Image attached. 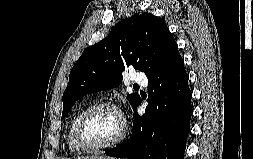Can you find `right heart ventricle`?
<instances>
[{
	"label": "right heart ventricle",
	"mask_w": 253,
	"mask_h": 159,
	"mask_svg": "<svg viewBox=\"0 0 253 159\" xmlns=\"http://www.w3.org/2000/svg\"><path fill=\"white\" fill-rule=\"evenodd\" d=\"M88 106H83L81 109H79L71 118L68 128H67V132H66V142L68 145V148L70 151H78V149L75 147L74 143H73V130H74V126L78 120V118L80 117V115L82 114V112L87 108Z\"/></svg>",
	"instance_id": "1"
}]
</instances>
